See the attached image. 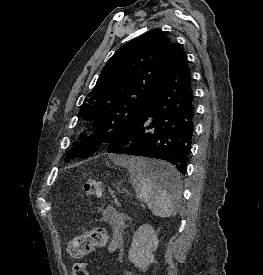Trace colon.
I'll use <instances>...</instances> for the list:
<instances>
[{
	"mask_svg": "<svg viewBox=\"0 0 263 275\" xmlns=\"http://www.w3.org/2000/svg\"><path fill=\"white\" fill-rule=\"evenodd\" d=\"M84 195L87 198L95 197L102 199L104 195L103 183L96 178L86 180L83 187ZM106 238V233L101 228H96L83 235L73 237L67 247L68 254L75 259L85 257L92 248L101 246ZM72 275H88L87 265L83 262L74 263ZM132 275V274H127Z\"/></svg>",
	"mask_w": 263,
	"mask_h": 275,
	"instance_id": "5ec220e1",
	"label": "colon"
}]
</instances>
